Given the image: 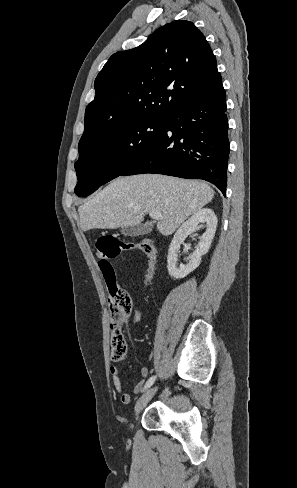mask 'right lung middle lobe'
I'll return each instance as SVG.
<instances>
[{"label":"right lung middle lobe","mask_w":297,"mask_h":488,"mask_svg":"<svg viewBox=\"0 0 297 488\" xmlns=\"http://www.w3.org/2000/svg\"><path fill=\"white\" fill-rule=\"evenodd\" d=\"M167 118H146L111 131L95 140H81L75 163V193L88 196L120 176L160 136Z\"/></svg>","instance_id":"right-lung-middle-lobe-1"}]
</instances>
